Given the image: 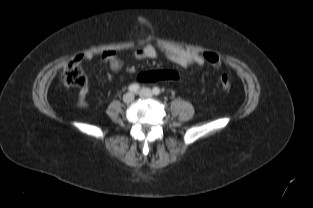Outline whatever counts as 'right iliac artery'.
<instances>
[{"mask_svg": "<svg viewBox=\"0 0 313 208\" xmlns=\"http://www.w3.org/2000/svg\"><path fill=\"white\" fill-rule=\"evenodd\" d=\"M140 89V86L138 84H131L129 87H128V90L130 92H137L138 90Z\"/></svg>", "mask_w": 313, "mask_h": 208, "instance_id": "1", "label": "right iliac artery"}]
</instances>
